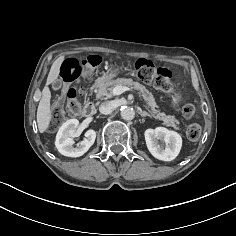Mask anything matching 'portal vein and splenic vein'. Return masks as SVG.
<instances>
[{
  "instance_id": "1",
  "label": "portal vein and splenic vein",
  "mask_w": 236,
  "mask_h": 236,
  "mask_svg": "<svg viewBox=\"0 0 236 236\" xmlns=\"http://www.w3.org/2000/svg\"><path fill=\"white\" fill-rule=\"evenodd\" d=\"M125 91H133L132 88L124 87V86H116L112 90L113 95H121Z\"/></svg>"
}]
</instances>
